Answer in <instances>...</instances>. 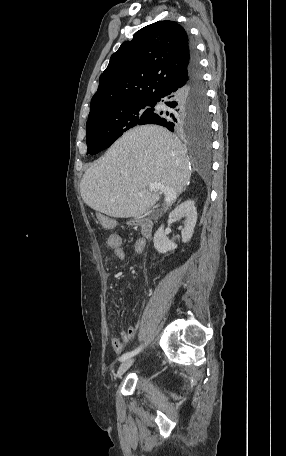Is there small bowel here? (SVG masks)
Here are the masks:
<instances>
[{"label": "small bowel", "mask_w": 286, "mask_h": 456, "mask_svg": "<svg viewBox=\"0 0 286 456\" xmlns=\"http://www.w3.org/2000/svg\"><path fill=\"white\" fill-rule=\"evenodd\" d=\"M114 236L116 238L115 243L110 242V238ZM108 246L112 250V255L117 260H124L126 258V252L122 247V239L118 234H111L108 237ZM146 246L145 240L138 239L132 246V252L136 255L141 254ZM135 335V327L129 326L126 330L120 332V338L115 336L112 337V347L115 353L120 354L125 348V344L130 342Z\"/></svg>", "instance_id": "c3829d8e"}]
</instances>
